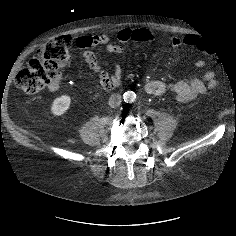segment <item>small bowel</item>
<instances>
[{
  "instance_id": "1",
  "label": "small bowel",
  "mask_w": 236,
  "mask_h": 236,
  "mask_svg": "<svg viewBox=\"0 0 236 236\" xmlns=\"http://www.w3.org/2000/svg\"><path fill=\"white\" fill-rule=\"evenodd\" d=\"M67 39V38H66ZM154 40V35L147 29H129L124 28L116 35V42L111 40L107 33L99 35H85L76 39V45L79 48H95L105 46L108 53L114 56V73L109 75L100 66L97 57L91 50H86L83 53L84 61L88 64L90 69L98 77L102 87L106 90H111L117 87L122 80V69L119 64V57L122 54V47L120 44L129 41L149 42ZM202 40L196 34H187L183 37H173L170 44L173 47L178 46H200ZM206 66L204 60L195 62L196 68H203ZM217 85L216 74L213 71H208L203 75L185 81L165 82L161 80H152L143 85V90L151 95H158L165 92H172L178 102H189L200 95L206 94L210 89ZM59 89V82L49 85L50 92H56Z\"/></svg>"
}]
</instances>
